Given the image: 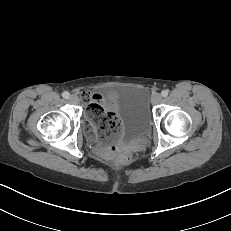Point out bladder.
Instances as JSON below:
<instances>
[{
	"mask_svg": "<svg viewBox=\"0 0 231 231\" xmlns=\"http://www.w3.org/2000/svg\"><path fill=\"white\" fill-rule=\"evenodd\" d=\"M148 91L140 86H126L109 92L102 100L103 105L121 117L118 138L131 142L146 137L151 129L152 114Z\"/></svg>",
	"mask_w": 231,
	"mask_h": 231,
	"instance_id": "1",
	"label": "bladder"
}]
</instances>
